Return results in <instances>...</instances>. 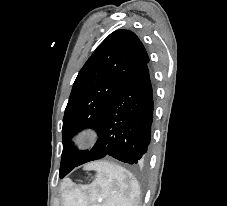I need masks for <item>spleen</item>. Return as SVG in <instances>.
I'll return each instance as SVG.
<instances>
[{"mask_svg":"<svg viewBox=\"0 0 227 206\" xmlns=\"http://www.w3.org/2000/svg\"><path fill=\"white\" fill-rule=\"evenodd\" d=\"M97 177L91 185L66 188L62 193L64 206H138L141 189L136 178L123 167L96 163Z\"/></svg>","mask_w":227,"mask_h":206,"instance_id":"spleen-1","label":"spleen"}]
</instances>
